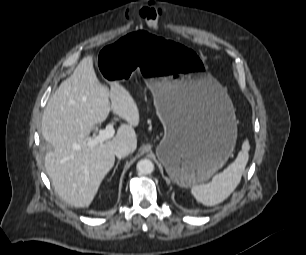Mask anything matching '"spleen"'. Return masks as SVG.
<instances>
[{
  "instance_id": "1",
  "label": "spleen",
  "mask_w": 306,
  "mask_h": 255,
  "mask_svg": "<svg viewBox=\"0 0 306 255\" xmlns=\"http://www.w3.org/2000/svg\"><path fill=\"white\" fill-rule=\"evenodd\" d=\"M249 148V142L245 140L237 158L226 169L216 174L211 182L193 185L191 192L195 199L206 206H214L228 198L240 183L248 162Z\"/></svg>"
}]
</instances>
